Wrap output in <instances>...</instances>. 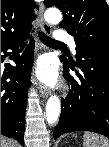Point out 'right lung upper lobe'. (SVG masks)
<instances>
[{"label": "right lung upper lobe", "mask_w": 109, "mask_h": 147, "mask_svg": "<svg viewBox=\"0 0 109 147\" xmlns=\"http://www.w3.org/2000/svg\"><path fill=\"white\" fill-rule=\"evenodd\" d=\"M34 7L33 0H1V44L29 33Z\"/></svg>", "instance_id": "1"}]
</instances>
